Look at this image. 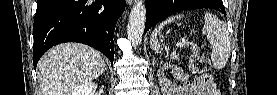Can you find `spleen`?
Instances as JSON below:
<instances>
[{
	"label": "spleen",
	"instance_id": "1",
	"mask_svg": "<svg viewBox=\"0 0 277 95\" xmlns=\"http://www.w3.org/2000/svg\"><path fill=\"white\" fill-rule=\"evenodd\" d=\"M183 18V15H175L161 24L152 32L150 38V46L156 52H159L161 49L160 44L158 43L157 36L160 30L167 24L174 22L177 19ZM203 31L207 35V39L212 47L211 60L213 67L216 70L222 69L228 61L231 44H230V36L227 31L224 23L219 20L215 15L211 13H206L204 15V27Z\"/></svg>",
	"mask_w": 277,
	"mask_h": 95
}]
</instances>
